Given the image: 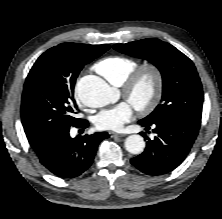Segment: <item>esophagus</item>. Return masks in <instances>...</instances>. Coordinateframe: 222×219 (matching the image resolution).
Returning a JSON list of instances; mask_svg holds the SVG:
<instances>
[{
  "label": "esophagus",
  "mask_w": 222,
  "mask_h": 219,
  "mask_svg": "<svg viewBox=\"0 0 222 219\" xmlns=\"http://www.w3.org/2000/svg\"><path fill=\"white\" fill-rule=\"evenodd\" d=\"M109 135L112 138L123 137L124 136L123 134H118V133H115V132H109Z\"/></svg>",
  "instance_id": "obj_1"
}]
</instances>
